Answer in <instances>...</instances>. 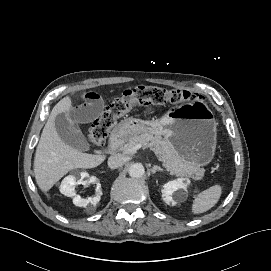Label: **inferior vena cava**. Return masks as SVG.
Instances as JSON below:
<instances>
[{
  "mask_svg": "<svg viewBox=\"0 0 271 271\" xmlns=\"http://www.w3.org/2000/svg\"><path fill=\"white\" fill-rule=\"evenodd\" d=\"M126 162V159L122 156H111L108 159V166L111 169L121 167Z\"/></svg>",
  "mask_w": 271,
  "mask_h": 271,
  "instance_id": "602c4592",
  "label": "inferior vena cava"
}]
</instances>
